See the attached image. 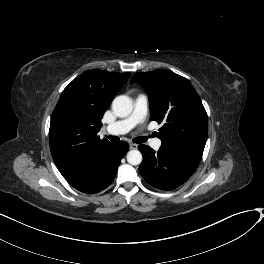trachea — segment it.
Listing matches in <instances>:
<instances>
[{"mask_svg": "<svg viewBox=\"0 0 264 264\" xmlns=\"http://www.w3.org/2000/svg\"><path fill=\"white\" fill-rule=\"evenodd\" d=\"M108 139L110 141H119L120 138L117 137V136H108ZM147 141V137H137L134 139V142L135 143H143V142H146Z\"/></svg>", "mask_w": 264, "mask_h": 264, "instance_id": "trachea-1", "label": "trachea"}]
</instances>
